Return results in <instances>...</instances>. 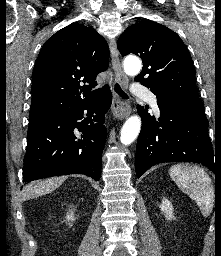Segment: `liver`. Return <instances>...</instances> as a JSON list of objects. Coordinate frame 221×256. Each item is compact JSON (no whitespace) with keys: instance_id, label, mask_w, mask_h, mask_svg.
Returning a JSON list of instances; mask_svg holds the SVG:
<instances>
[{"instance_id":"6515ba94","label":"liver","mask_w":221,"mask_h":256,"mask_svg":"<svg viewBox=\"0 0 221 256\" xmlns=\"http://www.w3.org/2000/svg\"><path fill=\"white\" fill-rule=\"evenodd\" d=\"M66 177H52L25 186L23 190L24 199H32L47 194L58 188Z\"/></svg>"}]
</instances>
